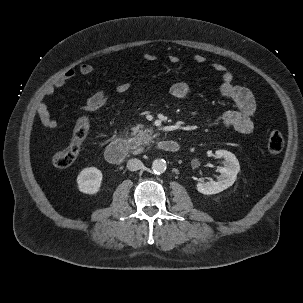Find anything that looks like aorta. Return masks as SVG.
I'll list each match as a JSON object with an SVG mask.
<instances>
[{"mask_svg": "<svg viewBox=\"0 0 303 303\" xmlns=\"http://www.w3.org/2000/svg\"><path fill=\"white\" fill-rule=\"evenodd\" d=\"M167 164L164 159H155L152 163V170L156 174H161L166 171Z\"/></svg>", "mask_w": 303, "mask_h": 303, "instance_id": "762f6f07", "label": "aorta"}]
</instances>
